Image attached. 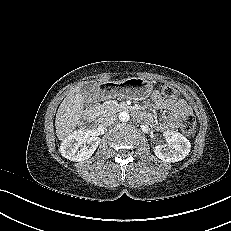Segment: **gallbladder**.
<instances>
[{"label": "gallbladder", "instance_id": "1", "mask_svg": "<svg viewBox=\"0 0 231 231\" xmlns=\"http://www.w3.org/2000/svg\"><path fill=\"white\" fill-rule=\"evenodd\" d=\"M99 89V85L97 82L88 81L85 82L84 85L81 87V93L84 96H93Z\"/></svg>", "mask_w": 231, "mask_h": 231}]
</instances>
